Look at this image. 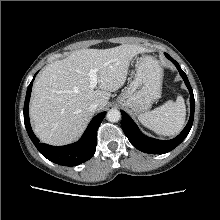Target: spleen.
<instances>
[{"instance_id": "1", "label": "spleen", "mask_w": 220, "mask_h": 220, "mask_svg": "<svg viewBox=\"0 0 220 220\" xmlns=\"http://www.w3.org/2000/svg\"><path fill=\"white\" fill-rule=\"evenodd\" d=\"M186 107L182 96L176 101L169 100L162 106L138 115V120L146 128L157 134L172 136L181 131L185 124Z\"/></svg>"}]
</instances>
